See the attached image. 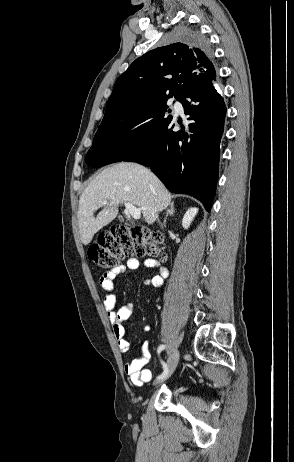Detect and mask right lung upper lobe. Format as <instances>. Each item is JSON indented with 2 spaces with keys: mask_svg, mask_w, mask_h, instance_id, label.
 <instances>
[{
  "mask_svg": "<svg viewBox=\"0 0 294 462\" xmlns=\"http://www.w3.org/2000/svg\"><path fill=\"white\" fill-rule=\"evenodd\" d=\"M214 77L209 50L182 43L156 48L136 59L117 79L105 116L146 100L181 96Z\"/></svg>",
  "mask_w": 294,
  "mask_h": 462,
  "instance_id": "cb5924a9",
  "label": "right lung upper lobe"
}]
</instances>
